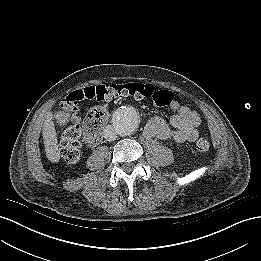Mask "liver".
<instances>
[{"instance_id": "1", "label": "liver", "mask_w": 261, "mask_h": 261, "mask_svg": "<svg viewBox=\"0 0 261 261\" xmlns=\"http://www.w3.org/2000/svg\"><path fill=\"white\" fill-rule=\"evenodd\" d=\"M54 117L59 120L60 124H63L66 119L64 114H57ZM42 133L47 159L51 163H58L60 160V151L57 144L58 138L53 123L52 113H48L43 125Z\"/></svg>"}]
</instances>
